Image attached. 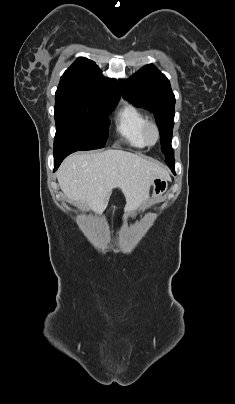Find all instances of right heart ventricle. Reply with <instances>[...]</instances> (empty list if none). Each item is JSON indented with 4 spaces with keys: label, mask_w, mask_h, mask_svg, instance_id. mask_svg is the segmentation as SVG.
<instances>
[{
    "label": "right heart ventricle",
    "mask_w": 235,
    "mask_h": 404,
    "mask_svg": "<svg viewBox=\"0 0 235 404\" xmlns=\"http://www.w3.org/2000/svg\"><path fill=\"white\" fill-rule=\"evenodd\" d=\"M148 119L146 115L132 104H127L120 112L116 130L121 140L135 148H143L145 143L142 132Z\"/></svg>",
    "instance_id": "e07e8e85"
}]
</instances>
